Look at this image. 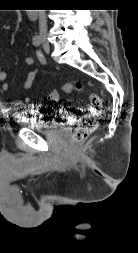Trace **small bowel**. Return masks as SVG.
I'll return each instance as SVG.
<instances>
[{"label":"small bowel","mask_w":138,"mask_h":253,"mask_svg":"<svg viewBox=\"0 0 138 253\" xmlns=\"http://www.w3.org/2000/svg\"><path fill=\"white\" fill-rule=\"evenodd\" d=\"M25 63L27 65H33L34 59L32 57H26ZM38 73H39L38 69H33L28 73L27 78L23 84V89L25 91L29 90L33 86L35 80L37 79ZM0 83L4 91L9 90V84L7 82V74L5 71L2 70L1 67H0ZM29 103H30L29 97H23L22 99L16 101L14 105L16 107H22L28 105Z\"/></svg>","instance_id":"obj_1"}]
</instances>
